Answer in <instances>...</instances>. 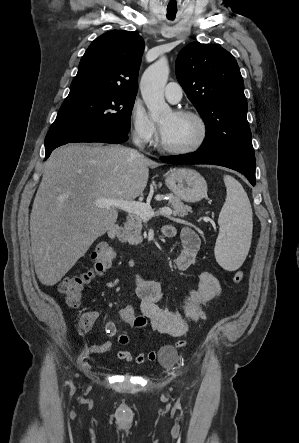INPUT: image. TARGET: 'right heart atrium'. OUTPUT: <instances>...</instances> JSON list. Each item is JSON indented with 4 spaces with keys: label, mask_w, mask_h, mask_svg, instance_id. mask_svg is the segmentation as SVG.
Wrapping results in <instances>:
<instances>
[{
    "label": "right heart atrium",
    "mask_w": 299,
    "mask_h": 443,
    "mask_svg": "<svg viewBox=\"0 0 299 443\" xmlns=\"http://www.w3.org/2000/svg\"><path fill=\"white\" fill-rule=\"evenodd\" d=\"M130 131L139 146L150 145L156 137V127L139 101H135L129 113Z\"/></svg>",
    "instance_id": "1"
}]
</instances>
